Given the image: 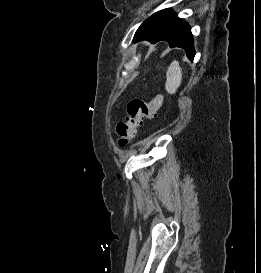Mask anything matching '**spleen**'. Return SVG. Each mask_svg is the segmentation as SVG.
<instances>
[{"instance_id": "obj_1", "label": "spleen", "mask_w": 261, "mask_h": 273, "mask_svg": "<svg viewBox=\"0 0 261 273\" xmlns=\"http://www.w3.org/2000/svg\"><path fill=\"white\" fill-rule=\"evenodd\" d=\"M165 88L168 93L175 94L182 81V69L178 61H173L166 72Z\"/></svg>"}]
</instances>
